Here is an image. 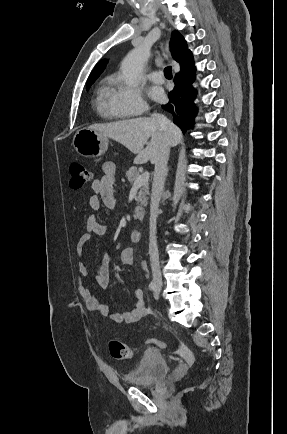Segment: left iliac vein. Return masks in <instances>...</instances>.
Listing matches in <instances>:
<instances>
[{"mask_svg": "<svg viewBox=\"0 0 287 434\" xmlns=\"http://www.w3.org/2000/svg\"><path fill=\"white\" fill-rule=\"evenodd\" d=\"M154 298H155V299H158V298H159V292H158V291H156V292L154 293Z\"/></svg>", "mask_w": 287, "mask_h": 434, "instance_id": "4c4485c4", "label": "left iliac vein"}]
</instances>
